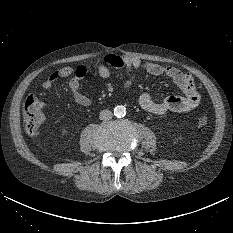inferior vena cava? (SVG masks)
Here are the masks:
<instances>
[{"label": "inferior vena cava", "instance_id": "inferior-vena-cava-1", "mask_svg": "<svg viewBox=\"0 0 233 233\" xmlns=\"http://www.w3.org/2000/svg\"><path fill=\"white\" fill-rule=\"evenodd\" d=\"M112 116H113V114L110 110H103L99 114V118L101 120H110V119H112Z\"/></svg>", "mask_w": 233, "mask_h": 233}]
</instances>
